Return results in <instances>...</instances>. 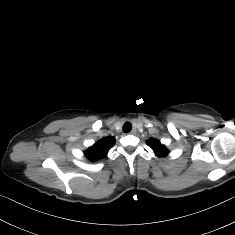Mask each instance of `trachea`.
I'll list each match as a JSON object with an SVG mask.
<instances>
[{"mask_svg": "<svg viewBox=\"0 0 235 235\" xmlns=\"http://www.w3.org/2000/svg\"><path fill=\"white\" fill-rule=\"evenodd\" d=\"M122 129H123L124 133L130 132L131 129H132L131 123L126 122V123L123 125V128H122Z\"/></svg>", "mask_w": 235, "mask_h": 235, "instance_id": "trachea-1", "label": "trachea"}]
</instances>
